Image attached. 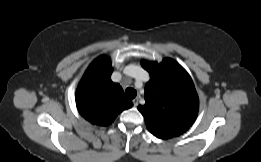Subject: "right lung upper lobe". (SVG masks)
<instances>
[{
  "label": "right lung upper lobe",
  "instance_id": "right-lung-upper-lobe-1",
  "mask_svg": "<svg viewBox=\"0 0 261 162\" xmlns=\"http://www.w3.org/2000/svg\"><path fill=\"white\" fill-rule=\"evenodd\" d=\"M112 71L110 58L100 56L78 84L75 95L78 112L94 125L107 126L120 112L133 106L124 98L121 86L112 82Z\"/></svg>",
  "mask_w": 261,
  "mask_h": 162
}]
</instances>
